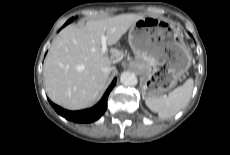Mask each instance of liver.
Listing matches in <instances>:
<instances>
[{
	"label": "liver",
	"instance_id": "obj_1",
	"mask_svg": "<svg viewBox=\"0 0 230 155\" xmlns=\"http://www.w3.org/2000/svg\"><path fill=\"white\" fill-rule=\"evenodd\" d=\"M139 14H121L88 21L85 26H67L53 41L44 63V84L49 98L70 110L96 102L104 92L111 65L108 53L101 52V37L116 44L138 20Z\"/></svg>",
	"mask_w": 230,
	"mask_h": 155
}]
</instances>
